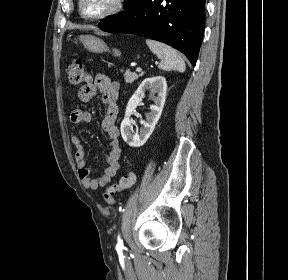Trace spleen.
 <instances>
[{
  "instance_id": "obj_1",
  "label": "spleen",
  "mask_w": 288,
  "mask_h": 280,
  "mask_svg": "<svg viewBox=\"0 0 288 280\" xmlns=\"http://www.w3.org/2000/svg\"><path fill=\"white\" fill-rule=\"evenodd\" d=\"M150 50L161 60L159 69L185 71V62L180 54L172 47L151 39L146 40Z\"/></svg>"
}]
</instances>
